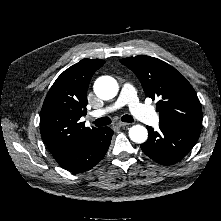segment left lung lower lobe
I'll return each instance as SVG.
<instances>
[{"label": "left lung lower lobe", "mask_w": 221, "mask_h": 221, "mask_svg": "<svg viewBox=\"0 0 221 221\" xmlns=\"http://www.w3.org/2000/svg\"><path fill=\"white\" fill-rule=\"evenodd\" d=\"M154 131L147 126L148 140L141 144L142 151L161 165H172L180 161L195 145L200 130L187 127L159 125Z\"/></svg>", "instance_id": "left-lung-lower-lobe-1"}]
</instances>
